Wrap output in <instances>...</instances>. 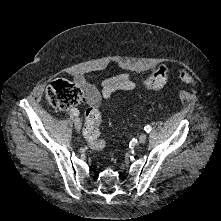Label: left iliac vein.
Here are the masks:
<instances>
[{
  "label": "left iliac vein",
  "mask_w": 221,
  "mask_h": 221,
  "mask_svg": "<svg viewBox=\"0 0 221 221\" xmlns=\"http://www.w3.org/2000/svg\"><path fill=\"white\" fill-rule=\"evenodd\" d=\"M147 139V135L145 133H142L139 137V142L144 143Z\"/></svg>",
  "instance_id": "left-iliac-vein-1"
}]
</instances>
